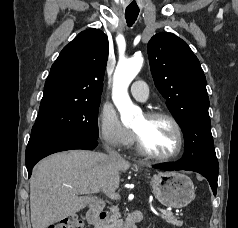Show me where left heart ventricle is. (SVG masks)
I'll return each instance as SVG.
<instances>
[{"mask_svg": "<svg viewBox=\"0 0 238 228\" xmlns=\"http://www.w3.org/2000/svg\"><path fill=\"white\" fill-rule=\"evenodd\" d=\"M133 130L140 136L145 148L152 154L166 156L177 145L172 124L165 119H148L145 115L137 119Z\"/></svg>", "mask_w": 238, "mask_h": 228, "instance_id": "obj_1", "label": "left heart ventricle"}]
</instances>
